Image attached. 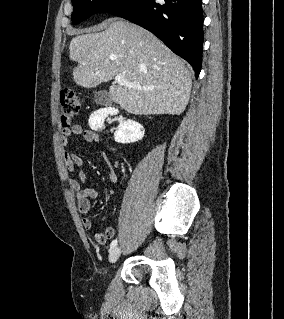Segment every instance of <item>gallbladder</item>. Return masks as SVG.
<instances>
[{
	"mask_svg": "<svg viewBox=\"0 0 284 319\" xmlns=\"http://www.w3.org/2000/svg\"><path fill=\"white\" fill-rule=\"evenodd\" d=\"M94 101L100 105H109L112 103L110 94L105 90L95 91Z\"/></svg>",
	"mask_w": 284,
	"mask_h": 319,
	"instance_id": "1",
	"label": "gallbladder"
}]
</instances>
